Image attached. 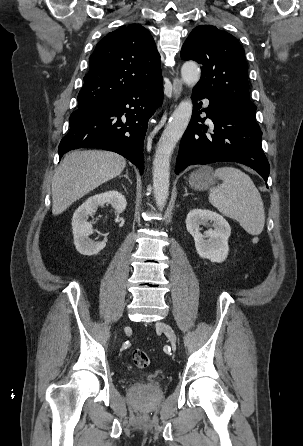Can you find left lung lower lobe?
<instances>
[{
    "label": "left lung lower lobe",
    "mask_w": 303,
    "mask_h": 446,
    "mask_svg": "<svg viewBox=\"0 0 303 446\" xmlns=\"http://www.w3.org/2000/svg\"><path fill=\"white\" fill-rule=\"evenodd\" d=\"M207 98L209 106L201 109L202 100ZM193 114L181 143L175 173L189 165L233 161L256 170L265 181L269 175V163L261 147L259 125L246 112L228 99L211 94L197 87L193 90ZM206 111L214 127L208 130L198 122L199 114Z\"/></svg>",
    "instance_id": "0a47b994"
}]
</instances>
